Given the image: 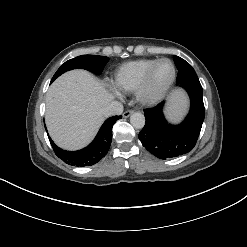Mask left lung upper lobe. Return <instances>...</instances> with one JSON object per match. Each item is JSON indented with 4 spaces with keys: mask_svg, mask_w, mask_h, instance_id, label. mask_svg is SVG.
Here are the masks:
<instances>
[{
    "mask_svg": "<svg viewBox=\"0 0 247 247\" xmlns=\"http://www.w3.org/2000/svg\"><path fill=\"white\" fill-rule=\"evenodd\" d=\"M174 61L178 69L177 85H181L185 82L199 81L196 72L188 62L178 56H174Z\"/></svg>",
    "mask_w": 247,
    "mask_h": 247,
    "instance_id": "obj_1",
    "label": "left lung upper lobe"
}]
</instances>
